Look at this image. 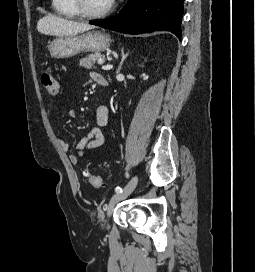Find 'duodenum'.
<instances>
[{
    "mask_svg": "<svg viewBox=\"0 0 255 272\" xmlns=\"http://www.w3.org/2000/svg\"><path fill=\"white\" fill-rule=\"evenodd\" d=\"M99 84L102 85V86H106L107 85V81L106 80H101Z\"/></svg>",
    "mask_w": 255,
    "mask_h": 272,
    "instance_id": "duodenum-1",
    "label": "duodenum"
}]
</instances>
